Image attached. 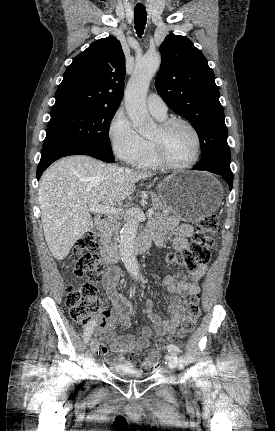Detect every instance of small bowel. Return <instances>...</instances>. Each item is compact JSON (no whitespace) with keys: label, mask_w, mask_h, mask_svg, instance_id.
Wrapping results in <instances>:
<instances>
[{"label":"small bowel","mask_w":275,"mask_h":431,"mask_svg":"<svg viewBox=\"0 0 275 431\" xmlns=\"http://www.w3.org/2000/svg\"><path fill=\"white\" fill-rule=\"evenodd\" d=\"M157 246L162 247L166 236L173 235L172 244L175 250L182 251L187 248L189 238L193 229L189 224H179L174 217H168L162 221L155 222L149 229ZM207 265L202 264L186 275H169L164 280L167 290L173 294L168 307V317H162L155 313L153 303L148 301L145 313L152 323L153 329L143 327L138 335H118L114 332L117 325L127 326L130 324L132 305L128 299L118 293L116 286L120 277L117 268H110L103 277V286L112 309L106 311V322L104 327L95 328V334L101 338V351L109 363L135 365L134 357L139 355L150 345L153 331L161 337L173 334L181 321L187 305L186 298L199 292V282L207 273ZM88 324V323H87ZM94 329V328H93Z\"/></svg>","instance_id":"small-bowel-1"}]
</instances>
